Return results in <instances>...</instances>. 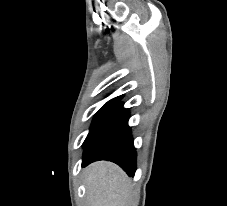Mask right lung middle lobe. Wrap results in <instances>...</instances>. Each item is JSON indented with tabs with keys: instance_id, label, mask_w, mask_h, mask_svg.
Returning <instances> with one entry per match:
<instances>
[{
	"instance_id": "right-lung-middle-lobe-1",
	"label": "right lung middle lobe",
	"mask_w": 227,
	"mask_h": 206,
	"mask_svg": "<svg viewBox=\"0 0 227 206\" xmlns=\"http://www.w3.org/2000/svg\"><path fill=\"white\" fill-rule=\"evenodd\" d=\"M122 99V96L116 97L111 99L110 101H108L96 114L94 117V120L92 122L91 128H90V132L89 134L92 132V130L95 128V126L98 124V122L100 121V119L120 100Z\"/></svg>"
}]
</instances>
